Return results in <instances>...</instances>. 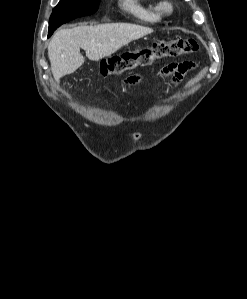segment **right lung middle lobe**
Returning <instances> with one entry per match:
<instances>
[{"mask_svg": "<svg viewBox=\"0 0 247 299\" xmlns=\"http://www.w3.org/2000/svg\"><path fill=\"white\" fill-rule=\"evenodd\" d=\"M99 2L100 0H60L50 17L48 37L62 24L77 17L94 14Z\"/></svg>", "mask_w": 247, "mask_h": 299, "instance_id": "obj_1", "label": "right lung middle lobe"}]
</instances>
